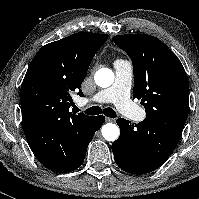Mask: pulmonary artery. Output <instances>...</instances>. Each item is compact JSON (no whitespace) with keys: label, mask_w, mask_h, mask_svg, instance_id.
I'll return each instance as SVG.
<instances>
[{"label":"pulmonary artery","mask_w":199,"mask_h":199,"mask_svg":"<svg viewBox=\"0 0 199 199\" xmlns=\"http://www.w3.org/2000/svg\"><path fill=\"white\" fill-rule=\"evenodd\" d=\"M115 81L113 85L94 96L84 99V102L113 103L122 113L135 120L145 118L144 111L138 108L130 99L133 79V66L127 60L118 59L114 63Z\"/></svg>","instance_id":"1"}]
</instances>
